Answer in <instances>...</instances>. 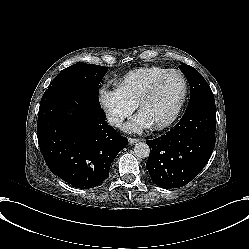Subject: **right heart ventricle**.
Wrapping results in <instances>:
<instances>
[{
  "label": "right heart ventricle",
  "mask_w": 249,
  "mask_h": 249,
  "mask_svg": "<svg viewBox=\"0 0 249 249\" xmlns=\"http://www.w3.org/2000/svg\"><path fill=\"white\" fill-rule=\"evenodd\" d=\"M157 68H140L131 71L116 91L131 107L138 106L151 88L165 75Z\"/></svg>",
  "instance_id": "e07e8e85"
}]
</instances>
